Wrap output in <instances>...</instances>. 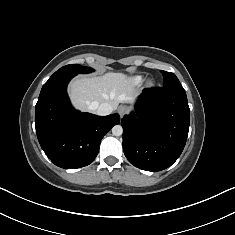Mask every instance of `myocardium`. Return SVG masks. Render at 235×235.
I'll return each instance as SVG.
<instances>
[{
    "instance_id": "obj_1",
    "label": "myocardium",
    "mask_w": 235,
    "mask_h": 235,
    "mask_svg": "<svg viewBox=\"0 0 235 235\" xmlns=\"http://www.w3.org/2000/svg\"><path fill=\"white\" fill-rule=\"evenodd\" d=\"M152 84H153L152 81H148V82H147V85H148V86H151Z\"/></svg>"
}]
</instances>
